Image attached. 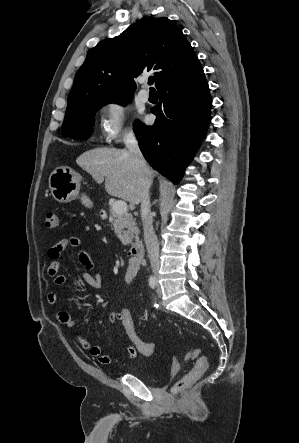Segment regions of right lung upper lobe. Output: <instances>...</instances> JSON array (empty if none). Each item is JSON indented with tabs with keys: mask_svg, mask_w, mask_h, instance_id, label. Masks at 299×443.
I'll return each mask as SVG.
<instances>
[{
	"mask_svg": "<svg viewBox=\"0 0 299 443\" xmlns=\"http://www.w3.org/2000/svg\"><path fill=\"white\" fill-rule=\"evenodd\" d=\"M201 64L182 30L168 18L146 17L92 48L77 72L67 108L132 95L134 77L153 71L155 85L188 75Z\"/></svg>",
	"mask_w": 299,
	"mask_h": 443,
	"instance_id": "obj_1",
	"label": "right lung upper lobe"
}]
</instances>
